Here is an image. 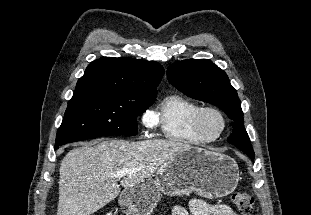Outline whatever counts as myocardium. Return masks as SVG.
<instances>
[{
    "label": "myocardium",
    "instance_id": "obj_1",
    "mask_svg": "<svg viewBox=\"0 0 311 215\" xmlns=\"http://www.w3.org/2000/svg\"><path fill=\"white\" fill-rule=\"evenodd\" d=\"M210 112L216 114L221 120V128L215 135H210L203 126V118L205 114ZM226 125L227 120L224 113L219 108L213 106L200 107L192 119L193 130L197 135L209 142L218 139L225 131Z\"/></svg>",
    "mask_w": 311,
    "mask_h": 215
}]
</instances>
